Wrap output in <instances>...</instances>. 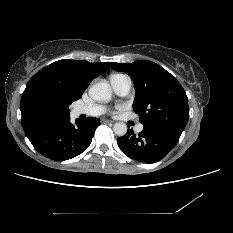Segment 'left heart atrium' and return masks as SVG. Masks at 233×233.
Returning <instances> with one entry per match:
<instances>
[{
	"label": "left heart atrium",
	"mask_w": 233,
	"mask_h": 233,
	"mask_svg": "<svg viewBox=\"0 0 233 233\" xmlns=\"http://www.w3.org/2000/svg\"><path fill=\"white\" fill-rule=\"evenodd\" d=\"M123 108H124L123 105H119V106H118V109H120V110L123 109Z\"/></svg>",
	"instance_id": "obj_1"
}]
</instances>
